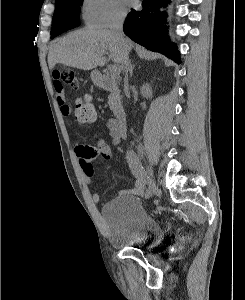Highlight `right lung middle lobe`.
Segmentation results:
<instances>
[{"mask_svg":"<svg viewBox=\"0 0 245 300\" xmlns=\"http://www.w3.org/2000/svg\"><path fill=\"white\" fill-rule=\"evenodd\" d=\"M83 0H57L52 20L51 38L58 36L60 26L66 22L78 21Z\"/></svg>","mask_w":245,"mask_h":300,"instance_id":"right-lung-middle-lobe-1","label":"right lung middle lobe"}]
</instances>
